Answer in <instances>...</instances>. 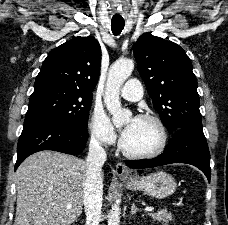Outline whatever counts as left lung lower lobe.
I'll return each instance as SVG.
<instances>
[{"label": "left lung lower lobe", "instance_id": "1", "mask_svg": "<svg viewBox=\"0 0 228 225\" xmlns=\"http://www.w3.org/2000/svg\"><path fill=\"white\" fill-rule=\"evenodd\" d=\"M164 152L149 160H129L130 168H151L172 163H186L199 168L210 182V153L203 130L178 129Z\"/></svg>", "mask_w": 228, "mask_h": 225}]
</instances>
